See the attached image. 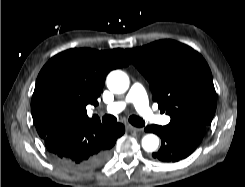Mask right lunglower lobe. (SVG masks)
<instances>
[{
    "instance_id": "obj_1",
    "label": "right lung lower lobe",
    "mask_w": 245,
    "mask_h": 187,
    "mask_svg": "<svg viewBox=\"0 0 245 187\" xmlns=\"http://www.w3.org/2000/svg\"><path fill=\"white\" fill-rule=\"evenodd\" d=\"M124 132L120 123L107 127L100 121H91L57 129L43 139L48 151L60 164L82 172L106 163L111 148Z\"/></svg>"
}]
</instances>
